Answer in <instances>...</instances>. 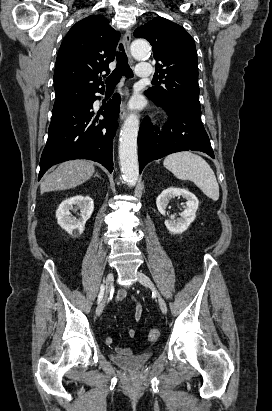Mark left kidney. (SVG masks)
Listing matches in <instances>:
<instances>
[{
  "instance_id": "5707ae66",
  "label": "left kidney",
  "mask_w": 272,
  "mask_h": 411,
  "mask_svg": "<svg viewBox=\"0 0 272 411\" xmlns=\"http://www.w3.org/2000/svg\"><path fill=\"white\" fill-rule=\"evenodd\" d=\"M176 196H181L187 200L186 205L183 206L184 211L180 213V217L175 219V215H171L170 219L165 220L166 228L173 234H181L188 229L190 224L195 220L196 211L198 209L199 201L197 197L186 189L170 187L157 197L156 205L158 211L166 214V208L169 201Z\"/></svg>"
}]
</instances>
